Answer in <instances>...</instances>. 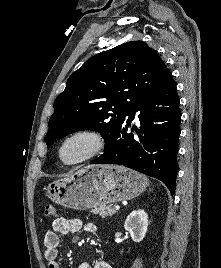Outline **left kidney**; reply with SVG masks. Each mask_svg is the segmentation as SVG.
<instances>
[{"instance_id":"left-kidney-1","label":"left kidney","mask_w":221,"mask_h":268,"mask_svg":"<svg viewBox=\"0 0 221 268\" xmlns=\"http://www.w3.org/2000/svg\"><path fill=\"white\" fill-rule=\"evenodd\" d=\"M147 227L148 215L142 209L132 211L124 223L125 230L128 231L134 242L143 240L147 232Z\"/></svg>"}]
</instances>
